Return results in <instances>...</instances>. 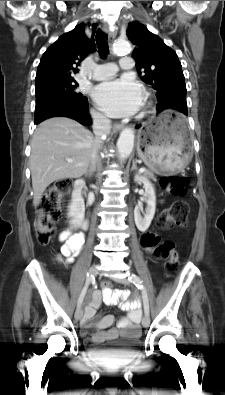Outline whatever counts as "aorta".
<instances>
[{
  "mask_svg": "<svg viewBox=\"0 0 225 395\" xmlns=\"http://www.w3.org/2000/svg\"><path fill=\"white\" fill-rule=\"evenodd\" d=\"M132 51L131 45L127 40H117L113 45L115 54H129ZM134 146V131L131 128H125L121 131L117 141L119 159L125 160L129 157Z\"/></svg>",
  "mask_w": 225,
  "mask_h": 395,
  "instance_id": "obj_1",
  "label": "aorta"
}]
</instances>
